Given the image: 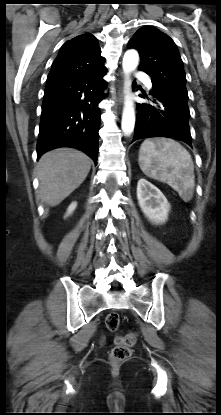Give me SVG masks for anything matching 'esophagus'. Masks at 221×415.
<instances>
[{"mask_svg": "<svg viewBox=\"0 0 221 415\" xmlns=\"http://www.w3.org/2000/svg\"><path fill=\"white\" fill-rule=\"evenodd\" d=\"M122 100H123V93H122V91L120 90L119 95H118V102H119V103H122Z\"/></svg>", "mask_w": 221, "mask_h": 415, "instance_id": "1", "label": "esophagus"}]
</instances>
